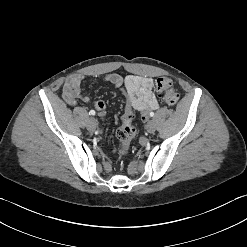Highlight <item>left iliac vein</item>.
<instances>
[{
  "mask_svg": "<svg viewBox=\"0 0 247 247\" xmlns=\"http://www.w3.org/2000/svg\"><path fill=\"white\" fill-rule=\"evenodd\" d=\"M156 129V125L153 120H150L146 125V130L148 133H154Z\"/></svg>",
  "mask_w": 247,
  "mask_h": 247,
  "instance_id": "4c4485c4",
  "label": "left iliac vein"
}]
</instances>
